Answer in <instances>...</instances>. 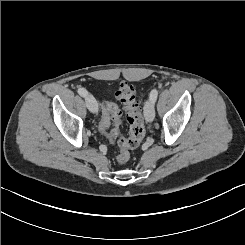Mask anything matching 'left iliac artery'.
<instances>
[{
  "mask_svg": "<svg viewBox=\"0 0 245 245\" xmlns=\"http://www.w3.org/2000/svg\"><path fill=\"white\" fill-rule=\"evenodd\" d=\"M158 96V90L157 89H153L150 93V100H152L153 102L156 101Z\"/></svg>",
  "mask_w": 245,
  "mask_h": 245,
  "instance_id": "1",
  "label": "left iliac artery"
}]
</instances>
